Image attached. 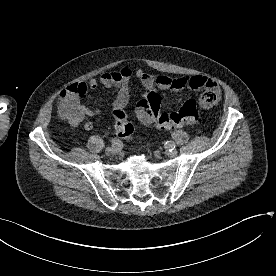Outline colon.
I'll return each instance as SVG.
<instances>
[{"label": "colon", "mask_w": 276, "mask_h": 276, "mask_svg": "<svg viewBox=\"0 0 276 276\" xmlns=\"http://www.w3.org/2000/svg\"><path fill=\"white\" fill-rule=\"evenodd\" d=\"M80 89L68 88L62 93L65 97L68 92L80 93ZM162 98L159 93L152 89L145 91L144 96L138 102L137 114L143 120L154 124L161 129H173L182 126H198L202 122L203 106L200 101L188 100L183 106L171 113L161 110ZM61 114L64 118L76 119L79 111L72 105H65ZM114 127L118 137L130 139L134 132V127L129 120L125 108H114L113 110Z\"/></svg>", "instance_id": "obj_1"}]
</instances>
